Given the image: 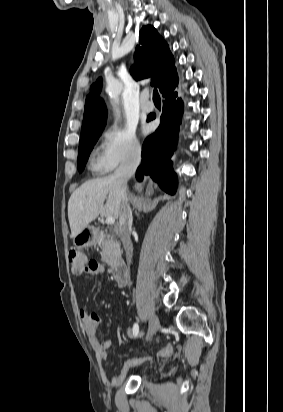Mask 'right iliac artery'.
Instances as JSON below:
<instances>
[{
  "mask_svg": "<svg viewBox=\"0 0 283 412\" xmlns=\"http://www.w3.org/2000/svg\"><path fill=\"white\" fill-rule=\"evenodd\" d=\"M138 333H139V326H138L137 323H135L134 326H133V335H134V337H136L138 335Z\"/></svg>",
  "mask_w": 283,
  "mask_h": 412,
  "instance_id": "right-iliac-artery-1",
  "label": "right iliac artery"
}]
</instances>
